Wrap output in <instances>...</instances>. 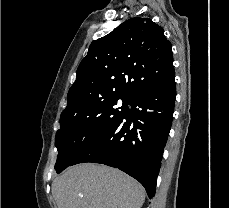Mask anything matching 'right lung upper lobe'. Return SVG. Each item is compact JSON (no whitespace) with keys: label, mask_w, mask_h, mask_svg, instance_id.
Returning a JSON list of instances; mask_svg holds the SVG:
<instances>
[{"label":"right lung upper lobe","mask_w":229,"mask_h":208,"mask_svg":"<svg viewBox=\"0 0 229 208\" xmlns=\"http://www.w3.org/2000/svg\"><path fill=\"white\" fill-rule=\"evenodd\" d=\"M173 73L172 46L163 28L150 18H131L91 43L60 118L102 98H132Z\"/></svg>","instance_id":"obj_1"}]
</instances>
